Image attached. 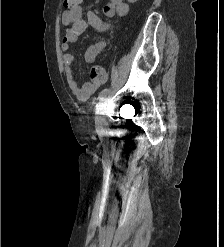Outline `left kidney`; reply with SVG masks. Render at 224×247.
I'll return each mask as SVG.
<instances>
[{
    "mask_svg": "<svg viewBox=\"0 0 224 247\" xmlns=\"http://www.w3.org/2000/svg\"><path fill=\"white\" fill-rule=\"evenodd\" d=\"M128 2H130V4H134V2H137V0H128Z\"/></svg>",
    "mask_w": 224,
    "mask_h": 247,
    "instance_id": "5707ae66",
    "label": "left kidney"
}]
</instances>
